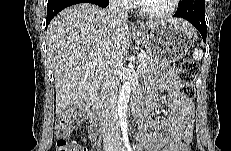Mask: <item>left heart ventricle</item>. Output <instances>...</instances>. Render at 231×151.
<instances>
[{"label": "left heart ventricle", "mask_w": 231, "mask_h": 151, "mask_svg": "<svg viewBox=\"0 0 231 151\" xmlns=\"http://www.w3.org/2000/svg\"><path fill=\"white\" fill-rule=\"evenodd\" d=\"M171 0H144L140 4L148 12L159 13L167 10Z\"/></svg>", "instance_id": "1"}]
</instances>
